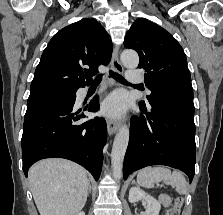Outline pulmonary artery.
I'll use <instances>...</instances> for the list:
<instances>
[{"mask_svg":"<svg viewBox=\"0 0 223 215\" xmlns=\"http://www.w3.org/2000/svg\"><path fill=\"white\" fill-rule=\"evenodd\" d=\"M125 74L130 78V82L143 81V73H140L139 69H125ZM139 86H142V83H139ZM143 93H146V90H143Z\"/></svg>","mask_w":223,"mask_h":215,"instance_id":"1","label":"pulmonary artery"}]
</instances>
